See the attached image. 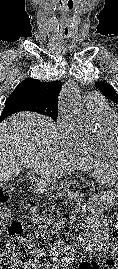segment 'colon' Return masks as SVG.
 Returning <instances> with one entry per match:
<instances>
[{"instance_id": "5ec220e1", "label": "colon", "mask_w": 118, "mask_h": 269, "mask_svg": "<svg viewBox=\"0 0 118 269\" xmlns=\"http://www.w3.org/2000/svg\"><path fill=\"white\" fill-rule=\"evenodd\" d=\"M11 192L10 186L0 185V206H4L10 200ZM9 231L8 239L4 243V250L0 253V269H20L31 260L30 242L22 235L20 222L13 221L9 226Z\"/></svg>"}]
</instances>
